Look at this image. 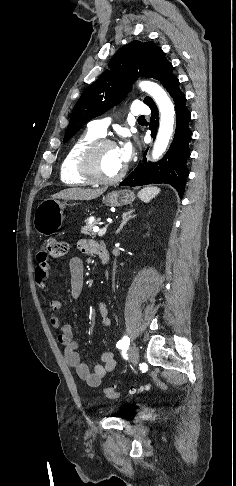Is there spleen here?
<instances>
[{
	"instance_id": "spleen-1",
	"label": "spleen",
	"mask_w": 236,
	"mask_h": 486,
	"mask_svg": "<svg viewBox=\"0 0 236 486\" xmlns=\"http://www.w3.org/2000/svg\"><path fill=\"white\" fill-rule=\"evenodd\" d=\"M160 192V189L158 187H145L143 189H141L139 192H138V197L148 203L150 202L153 198H155Z\"/></svg>"
}]
</instances>
